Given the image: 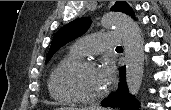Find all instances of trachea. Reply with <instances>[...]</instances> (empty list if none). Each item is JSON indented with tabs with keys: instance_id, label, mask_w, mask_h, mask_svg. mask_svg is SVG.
Wrapping results in <instances>:
<instances>
[{
	"instance_id": "trachea-1",
	"label": "trachea",
	"mask_w": 171,
	"mask_h": 110,
	"mask_svg": "<svg viewBox=\"0 0 171 110\" xmlns=\"http://www.w3.org/2000/svg\"><path fill=\"white\" fill-rule=\"evenodd\" d=\"M116 49H122V47L121 46H118Z\"/></svg>"
}]
</instances>
